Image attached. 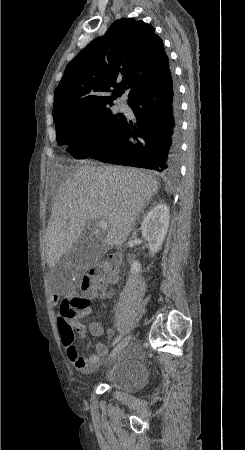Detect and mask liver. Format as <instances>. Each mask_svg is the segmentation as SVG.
Wrapping results in <instances>:
<instances>
[{
    "mask_svg": "<svg viewBox=\"0 0 245 450\" xmlns=\"http://www.w3.org/2000/svg\"><path fill=\"white\" fill-rule=\"evenodd\" d=\"M159 185L130 167L83 165L72 171L57 191L45 233L49 268L72 249L90 220L108 223L103 244L122 245Z\"/></svg>",
    "mask_w": 245,
    "mask_h": 450,
    "instance_id": "obj_1",
    "label": "liver"
}]
</instances>
